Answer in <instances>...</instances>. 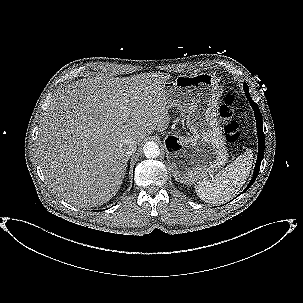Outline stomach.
Segmentation results:
<instances>
[{
  "instance_id": "1",
  "label": "stomach",
  "mask_w": 303,
  "mask_h": 303,
  "mask_svg": "<svg viewBox=\"0 0 303 303\" xmlns=\"http://www.w3.org/2000/svg\"><path fill=\"white\" fill-rule=\"evenodd\" d=\"M167 106L187 114L189 137L168 135L165 138L167 159L174 178L193 183L220 170L228 152L219 120L221 89L208 73L179 75L163 84Z\"/></svg>"
}]
</instances>
